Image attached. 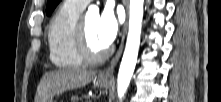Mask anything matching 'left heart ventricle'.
<instances>
[{"label": "left heart ventricle", "instance_id": "1", "mask_svg": "<svg viewBox=\"0 0 221 102\" xmlns=\"http://www.w3.org/2000/svg\"><path fill=\"white\" fill-rule=\"evenodd\" d=\"M87 37L89 41V45L91 49L95 52L100 51L107 46L102 44L97 37V24H98V16L91 15L84 18Z\"/></svg>", "mask_w": 221, "mask_h": 102}]
</instances>
